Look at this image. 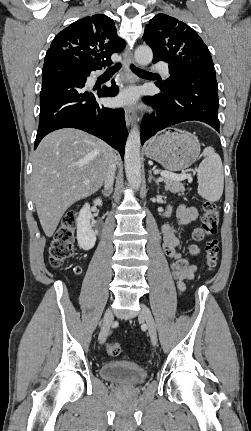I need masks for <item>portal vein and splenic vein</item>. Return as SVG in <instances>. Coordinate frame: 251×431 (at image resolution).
Masks as SVG:
<instances>
[{
  "label": "portal vein and splenic vein",
  "instance_id": "portal-vein-and-splenic-vein-1",
  "mask_svg": "<svg viewBox=\"0 0 251 431\" xmlns=\"http://www.w3.org/2000/svg\"><path fill=\"white\" fill-rule=\"evenodd\" d=\"M161 177L163 178H170L173 180H177V181H183L185 179H189L190 176L189 175H185V174H174V173H170V172H162ZM161 180V178L159 179V181ZM85 184H88L89 181H84Z\"/></svg>",
  "mask_w": 251,
  "mask_h": 431
}]
</instances>
